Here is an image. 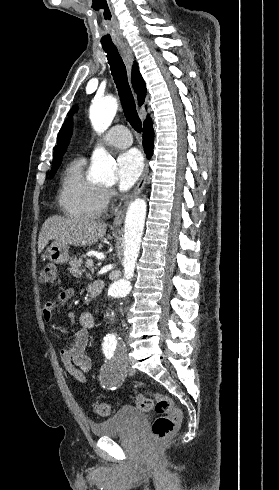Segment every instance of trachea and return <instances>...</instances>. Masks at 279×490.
<instances>
[{"label": "trachea", "mask_w": 279, "mask_h": 490, "mask_svg": "<svg viewBox=\"0 0 279 490\" xmlns=\"http://www.w3.org/2000/svg\"><path fill=\"white\" fill-rule=\"evenodd\" d=\"M107 54V60L111 68L113 79L118 89L124 115L130 125L140 133L142 131V122L136 111L133 95L128 83L127 72L124 62L118 53L116 47H103Z\"/></svg>", "instance_id": "obj_1"}]
</instances>
